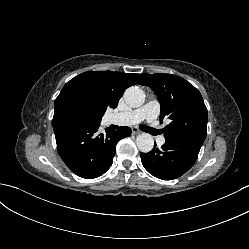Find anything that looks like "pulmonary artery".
I'll list each match as a JSON object with an SVG mask.
<instances>
[{"label":"pulmonary artery","instance_id":"e3ab8cb5","mask_svg":"<svg viewBox=\"0 0 249 249\" xmlns=\"http://www.w3.org/2000/svg\"><path fill=\"white\" fill-rule=\"evenodd\" d=\"M160 112V103L157 100H150L142 107L128 112L115 113L110 116V121L117 125H134L142 120L154 123ZM165 143L164 137L158 139V144Z\"/></svg>","mask_w":249,"mask_h":249}]
</instances>
